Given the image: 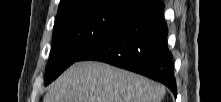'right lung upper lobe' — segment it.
<instances>
[{"label": "right lung upper lobe", "instance_id": "right-lung-upper-lobe-1", "mask_svg": "<svg viewBox=\"0 0 221 102\" xmlns=\"http://www.w3.org/2000/svg\"><path fill=\"white\" fill-rule=\"evenodd\" d=\"M88 0H61L58 8V13H63L68 10H71L75 7H78L82 3ZM129 6L135 7L139 11L149 6L156 0H124Z\"/></svg>", "mask_w": 221, "mask_h": 102}]
</instances>
